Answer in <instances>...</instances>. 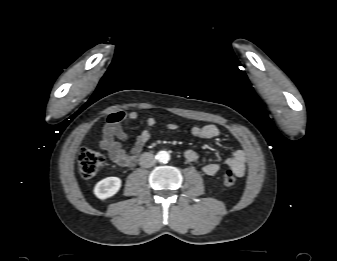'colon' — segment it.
Wrapping results in <instances>:
<instances>
[{
    "instance_id": "1",
    "label": "colon",
    "mask_w": 337,
    "mask_h": 261,
    "mask_svg": "<svg viewBox=\"0 0 337 261\" xmlns=\"http://www.w3.org/2000/svg\"><path fill=\"white\" fill-rule=\"evenodd\" d=\"M104 165L103 155L93 149L82 148L78 153V168L83 178L95 176ZM223 183L226 186H233L236 178L232 171H226L222 176Z\"/></svg>"
}]
</instances>
